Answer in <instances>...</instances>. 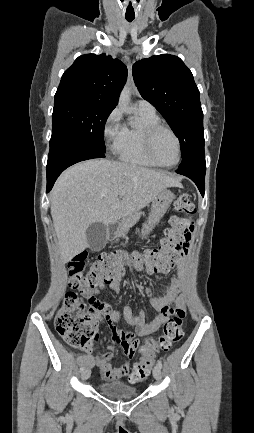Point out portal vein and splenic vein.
I'll list each match as a JSON object with an SVG mask.
<instances>
[{"instance_id":"1","label":"portal vein and splenic vein","mask_w":254,"mask_h":433,"mask_svg":"<svg viewBox=\"0 0 254 433\" xmlns=\"http://www.w3.org/2000/svg\"><path fill=\"white\" fill-rule=\"evenodd\" d=\"M124 194H125L124 191H121V192L119 193L120 196H123Z\"/></svg>"}]
</instances>
